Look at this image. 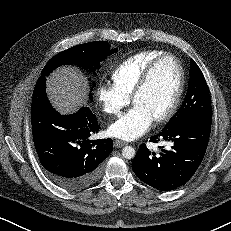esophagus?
I'll list each match as a JSON object with an SVG mask.
<instances>
[{"label": "esophagus", "instance_id": "34e87169", "mask_svg": "<svg viewBox=\"0 0 231 231\" xmlns=\"http://www.w3.org/2000/svg\"><path fill=\"white\" fill-rule=\"evenodd\" d=\"M126 145H127V143L124 142V141H121V140H116V141L114 142V146H115L116 148H122V147H124V146H126Z\"/></svg>", "mask_w": 231, "mask_h": 231}]
</instances>
